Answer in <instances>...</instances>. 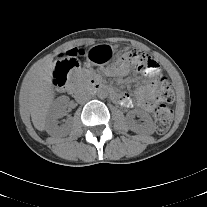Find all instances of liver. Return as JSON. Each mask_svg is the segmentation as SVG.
Masks as SVG:
<instances>
[{
  "label": "liver",
  "instance_id": "liver-1",
  "mask_svg": "<svg viewBox=\"0 0 207 207\" xmlns=\"http://www.w3.org/2000/svg\"><path fill=\"white\" fill-rule=\"evenodd\" d=\"M53 68L52 58L46 59L27 74L22 85V97L29 107L32 123L39 131L45 130L47 113L55 96Z\"/></svg>",
  "mask_w": 207,
  "mask_h": 207
}]
</instances>
